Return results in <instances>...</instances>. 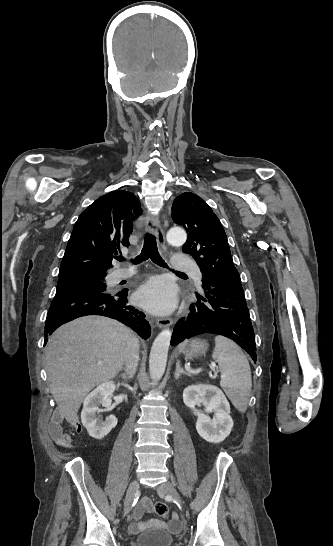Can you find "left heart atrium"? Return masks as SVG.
<instances>
[{
  "label": "left heart atrium",
  "mask_w": 333,
  "mask_h": 546,
  "mask_svg": "<svg viewBox=\"0 0 333 546\" xmlns=\"http://www.w3.org/2000/svg\"><path fill=\"white\" fill-rule=\"evenodd\" d=\"M136 300L154 314H166L176 304L174 286L164 278H152L138 289Z\"/></svg>",
  "instance_id": "1"
}]
</instances>
